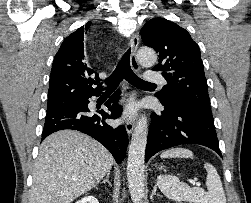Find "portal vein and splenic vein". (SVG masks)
<instances>
[{
    "instance_id": "18ae733b",
    "label": "portal vein and splenic vein",
    "mask_w": 251,
    "mask_h": 203,
    "mask_svg": "<svg viewBox=\"0 0 251 203\" xmlns=\"http://www.w3.org/2000/svg\"><path fill=\"white\" fill-rule=\"evenodd\" d=\"M192 184L195 185V186H197V187L201 186L200 182H192Z\"/></svg>"
}]
</instances>
